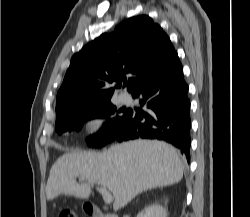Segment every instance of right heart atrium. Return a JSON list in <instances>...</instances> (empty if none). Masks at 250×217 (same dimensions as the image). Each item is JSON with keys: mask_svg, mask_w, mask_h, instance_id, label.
<instances>
[{"mask_svg": "<svg viewBox=\"0 0 250 217\" xmlns=\"http://www.w3.org/2000/svg\"><path fill=\"white\" fill-rule=\"evenodd\" d=\"M84 132L90 137H97L105 130V119L100 114H90L82 122Z\"/></svg>", "mask_w": 250, "mask_h": 217, "instance_id": "right-heart-atrium-1", "label": "right heart atrium"}]
</instances>
